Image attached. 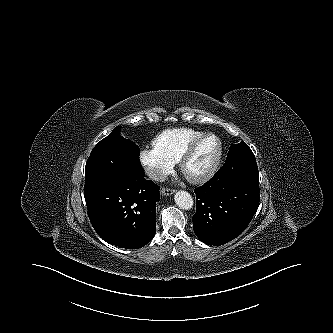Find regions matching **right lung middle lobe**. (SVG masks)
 <instances>
[{"instance_id": "obj_1", "label": "right lung middle lobe", "mask_w": 333, "mask_h": 333, "mask_svg": "<svg viewBox=\"0 0 333 333\" xmlns=\"http://www.w3.org/2000/svg\"><path fill=\"white\" fill-rule=\"evenodd\" d=\"M139 154L138 145L120 135V126L114 128L91 151L85 167L84 191L143 175Z\"/></svg>"}]
</instances>
